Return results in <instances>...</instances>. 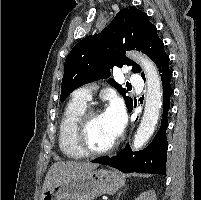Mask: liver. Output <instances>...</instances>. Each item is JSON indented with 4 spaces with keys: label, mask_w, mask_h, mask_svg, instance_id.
Returning <instances> with one entry per match:
<instances>
[{
    "label": "liver",
    "mask_w": 201,
    "mask_h": 200,
    "mask_svg": "<svg viewBox=\"0 0 201 200\" xmlns=\"http://www.w3.org/2000/svg\"><path fill=\"white\" fill-rule=\"evenodd\" d=\"M98 167L97 164L89 162L66 161L54 163L47 172L45 177L42 192H45L50 187L65 178L80 172L92 171Z\"/></svg>",
    "instance_id": "obj_1"
}]
</instances>
